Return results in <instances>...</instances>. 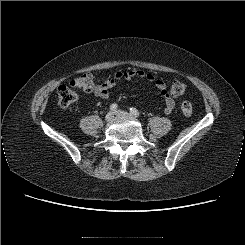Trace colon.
Segmentation results:
<instances>
[{
    "instance_id": "colon-1",
    "label": "colon",
    "mask_w": 245,
    "mask_h": 245,
    "mask_svg": "<svg viewBox=\"0 0 245 245\" xmlns=\"http://www.w3.org/2000/svg\"><path fill=\"white\" fill-rule=\"evenodd\" d=\"M96 88V83L92 74L83 73L73 79L69 84L61 85L58 88L57 102L61 107H68L78 98L76 89H80L85 92H93ZM186 91L187 86L181 81H174L170 88V94L174 97L182 96ZM181 111L185 116L190 117L193 112L192 104L188 101H184L181 104Z\"/></svg>"
}]
</instances>
